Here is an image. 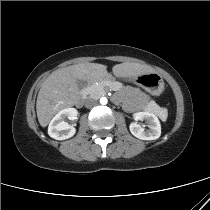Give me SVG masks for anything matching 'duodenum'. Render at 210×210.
<instances>
[{
    "label": "duodenum",
    "instance_id": "duodenum-1",
    "mask_svg": "<svg viewBox=\"0 0 210 210\" xmlns=\"http://www.w3.org/2000/svg\"><path fill=\"white\" fill-rule=\"evenodd\" d=\"M83 102V96L80 98V100L77 102V106H81Z\"/></svg>",
    "mask_w": 210,
    "mask_h": 210
}]
</instances>
